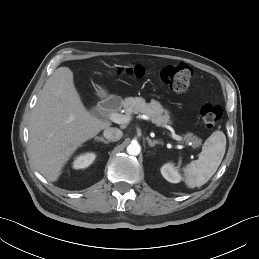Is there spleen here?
I'll list each match as a JSON object with an SVG mask.
<instances>
[{
  "label": "spleen",
  "mask_w": 259,
  "mask_h": 259,
  "mask_svg": "<svg viewBox=\"0 0 259 259\" xmlns=\"http://www.w3.org/2000/svg\"><path fill=\"white\" fill-rule=\"evenodd\" d=\"M225 150V134L222 131H214L203 144L198 159L183 168L187 186L195 188L204 185L217 171Z\"/></svg>",
  "instance_id": "obj_1"
}]
</instances>
